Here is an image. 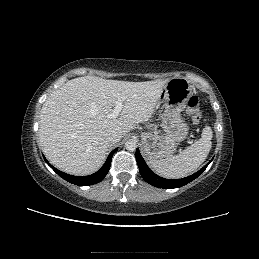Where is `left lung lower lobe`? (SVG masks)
Listing matches in <instances>:
<instances>
[{
	"label": "left lung lower lobe",
	"mask_w": 259,
	"mask_h": 259,
	"mask_svg": "<svg viewBox=\"0 0 259 259\" xmlns=\"http://www.w3.org/2000/svg\"><path fill=\"white\" fill-rule=\"evenodd\" d=\"M136 160L137 164L141 173L142 178L149 184L158 187V188H164V189H172V188H179L182 187L192 180L196 179L209 165L206 164L202 169H200L198 172L194 173L193 175H190L186 178L182 179H175V180H170V179H165L162 178L155 173H153L147 164L145 163L144 159L142 158L139 149L136 150Z\"/></svg>",
	"instance_id": "1"
}]
</instances>
